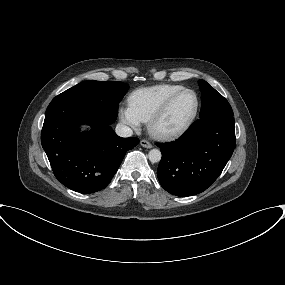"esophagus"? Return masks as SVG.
I'll list each match as a JSON object with an SVG mask.
<instances>
[{"label":"esophagus","mask_w":285,"mask_h":285,"mask_svg":"<svg viewBox=\"0 0 285 285\" xmlns=\"http://www.w3.org/2000/svg\"><path fill=\"white\" fill-rule=\"evenodd\" d=\"M140 145L142 147H145V148H152V144L149 141L145 140V139H142L140 141Z\"/></svg>","instance_id":"34e87169"}]
</instances>
